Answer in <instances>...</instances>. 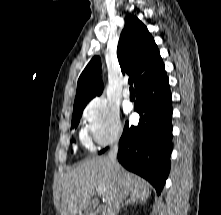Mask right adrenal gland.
Wrapping results in <instances>:
<instances>
[{"mask_svg":"<svg viewBox=\"0 0 221 215\" xmlns=\"http://www.w3.org/2000/svg\"><path fill=\"white\" fill-rule=\"evenodd\" d=\"M138 202H136V204H137ZM130 204H135V202H133V201H131V200H127L126 202H125V204H122V207L121 208H124L125 206L127 207L128 205H130Z\"/></svg>","mask_w":221,"mask_h":215,"instance_id":"obj_1","label":"right adrenal gland"}]
</instances>
